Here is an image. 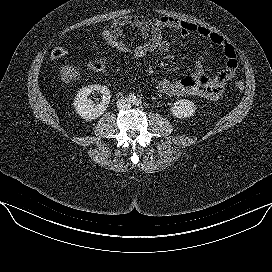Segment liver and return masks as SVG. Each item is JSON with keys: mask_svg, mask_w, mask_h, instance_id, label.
Returning <instances> with one entry per match:
<instances>
[{"mask_svg": "<svg viewBox=\"0 0 272 272\" xmlns=\"http://www.w3.org/2000/svg\"><path fill=\"white\" fill-rule=\"evenodd\" d=\"M62 73L66 82L72 79H76L80 75L78 71H76L74 68H71L69 66H64Z\"/></svg>", "mask_w": 272, "mask_h": 272, "instance_id": "1", "label": "liver"}]
</instances>
